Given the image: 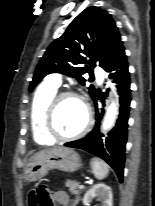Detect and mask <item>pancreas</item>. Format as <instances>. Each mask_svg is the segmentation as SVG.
<instances>
[{"label":"pancreas","mask_w":155,"mask_h":206,"mask_svg":"<svg viewBox=\"0 0 155 206\" xmlns=\"http://www.w3.org/2000/svg\"><path fill=\"white\" fill-rule=\"evenodd\" d=\"M65 186L69 188V191L75 195H79L81 189L78 188L79 183L76 180H67Z\"/></svg>","instance_id":"1"}]
</instances>
